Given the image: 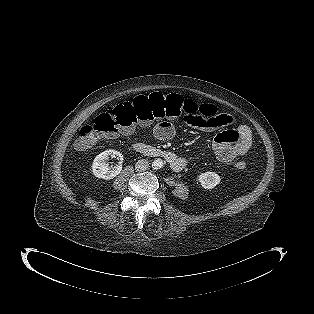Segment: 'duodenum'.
<instances>
[{
  "label": "duodenum",
  "mask_w": 314,
  "mask_h": 314,
  "mask_svg": "<svg viewBox=\"0 0 314 314\" xmlns=\"http://www.w3.org/2000/svg\"><path fill=\"white\" fill-rule=\"evenodd\" d=\"M133 149L136 152L145 154L147 156L164 158L168 164L176 170H182L185 166L184 160H182L172 151L156 148L144 142H135L133 144Z\"/></svg>",
  "instance_id": "1"
}]
</instances>
